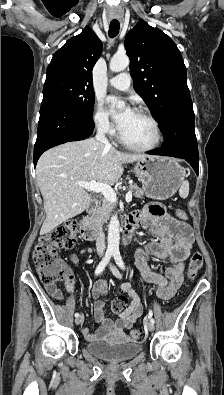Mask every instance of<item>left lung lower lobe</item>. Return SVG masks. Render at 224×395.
<instances>
[{
    "mask_svg": "<svg viewBox=\"0 0 224 395\" xmlns=\"http://www.w3.org/2000/svg\"><path fill=\"white\" fill-rule=\"evenodd\" d=\"M168 121V125L161 129L165 136L163 147L150 151L149 154L184 158L198 175L199 157L193 108H185L172 113Z\"/></svg>",
    "mask_w": 224,
    "mask_h": 395,
    "instance_id": "obj_1",
    "label": "left lung lower lobe"
}]
</instances>
